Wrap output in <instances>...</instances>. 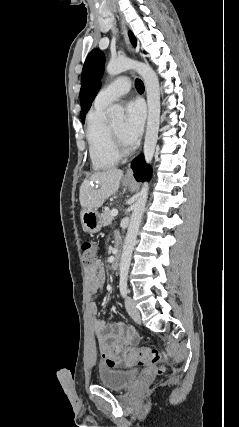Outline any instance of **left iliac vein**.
Here are the masks:
<instances>
[{
    "mask_svg": "<svg viewBox=\"0 0 239 427\" xmlns=\"http://www.w3.org/2000/svg\"><path fill=\"white\" fill-rule=\"evenodd\" d=\"M125 307L126 310L128 312V314L130 315V317L137 323L141 322V317H140V312L137 309L135 303L133 302V300L131 299V297L127 296L125 299Z\"/></svg>",
    "mask_w": 239,
    "mask_h": 427,
    "instance_id": "left-iliac-vein-1",
    "label": "left iliac vein"
}]
</instances>
